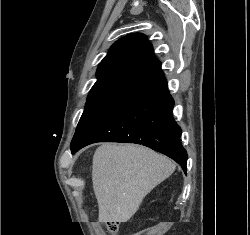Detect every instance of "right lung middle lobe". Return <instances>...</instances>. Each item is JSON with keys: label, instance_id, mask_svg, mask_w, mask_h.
<instances>
[{"label": "right lung middle lobe", "instance_id": "dd1d6c3e", "mask_svg": "<svg viewBox=\"0 0 250 235\" xmlns=\"http://www.w3.org/2000/svg\"><path fill=\"white\" fill-rule=\"evenodd\" d=\"M130 97L127 95L88 97L85 110L78 123L71 145L76 144L86 133L113 113Z\"/></svg>", "mask_w": 250, "mask_h": 235}]
</instances>
